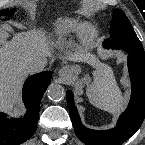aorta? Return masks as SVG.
<instances>
[{"mask_svg":"<svg viewBox=\"0 0 145 145\" xmlns=\"http://www.w3.org/2000/svg\"><path fill=\"white\" fill-rule=\"evenodd\" d=\"M48 98L53 102H59L65 97V90L60 84L51 83L47 90Z\"/></svg>","mask_w":145,"mask_h":145,"instance_id":"1","label":"aorta"}]
</instances>
